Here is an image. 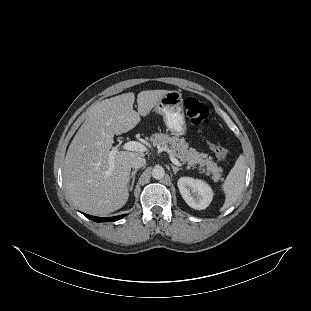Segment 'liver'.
Returning <instances> with one entry per match:
<instances>
[{"mask_svg": "<svg viewBox=\"0 0 311 311\" xmlns=\"http://www.w3.org/2000/svg\"><path fill=\"white\" fill-rule=\"evenodd\" d=\"M168 90L123 93L94 105L74 136L63 166V181L71 200L81 210L106 215L122 208L129 197L130 162L142 152L118 151L109 170L115 135L127 133L147 116Z\"/></svg>", "mask_w": 311, "mask_h": 311, "instance_id": "1", "label": "liver"}]
</instances>
